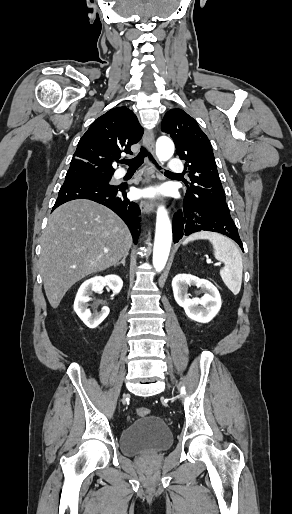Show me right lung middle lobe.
I'll return each instance as SVG.
<instances>
[{
    "label": "right lung middle lobe",
    "mask_w": 292,
    "mask_h": 514,
    "mask_svg": "<svg viewBox=\"0 0 292 514\" xmlns=\"http://www.w3.org/2000/svg\"><path fill=\"white\" fill-rule=\"evenodd\" d=\"M113 173L102 172H84V173H67L65 180L69 179H88L93 181L109 183Z\"/></svg>",
    "instance_id": "1"
}]
</instances>
